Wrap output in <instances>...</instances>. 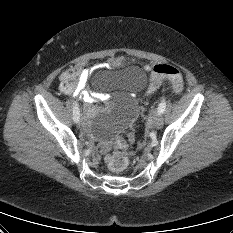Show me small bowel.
Segmentation results:
<instances>
[{"label":"small bowel","instance_id":"small-bowel-1","mask_svg":"<svg viewBox=\"0 0 233 233\" xmlns=\"http://www.w3.org/2000/svg\"><path fill=\"white\" fill-rule=\"evenodd\" d=\"M115 63H116V61H110L107 63L96 65L94 67H85V68L81 69L80 77H79V81H78L77 86L75 87L74 90H72L70 92H66V93H71V94L79 97L81 100H83L85 102L87 115H90L93 112L92 104L94 102L107 99V96L100 95V94H97V93L92 92V91L84 90L90 74L92 73L93 70H95L97 68L104 67V66H111V65H114ZM145 69L147 71H150L151 67L145 66Z\"/></svg>","mask_w":233,"mask_h":233}]
</instances>
